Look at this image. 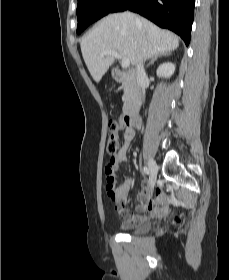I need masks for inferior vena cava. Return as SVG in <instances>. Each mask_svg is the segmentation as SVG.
Masks as SVG:
<instances>
[{"instance_id": "602c4592", "label": "inferior vena cava", "mask_w": 229, "mask_h": 280, "mask_svg": "<svg viewBox=\"0 0 229 280\" xmlns=\"http://www.w3.org/2000/svg\"><path fill=\"white\" fill-rule=\"evenodd\" d=\"M137 24H141L140 19H136ZM146 59V56L137 64L136 66V79L139 84H143L147 81V75L144 69L143 61Z\"/></svg>"}]
</instances>
